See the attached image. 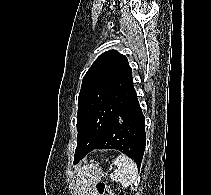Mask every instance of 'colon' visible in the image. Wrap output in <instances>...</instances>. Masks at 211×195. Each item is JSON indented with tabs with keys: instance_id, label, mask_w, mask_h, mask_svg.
I'll return each instance as SVG.
<instances>
[{
	"instance_id": "5ec220e1",
	"label": "colon",
	"mask_w": 211,
	"mask_h": 195,
	"mask_svg": "<svg viewBox=\"0 0 211 195\" xmlns=\"http://www.w3.org/2000/svg\"><path fill=\"white\" fill-rule=\"evenodd\" d=\"M95 193L97 195H105L106 193H108L109 195H114L107 187V185L102 181H99L95 184Z\"/></svg>"
}]
</instances>
